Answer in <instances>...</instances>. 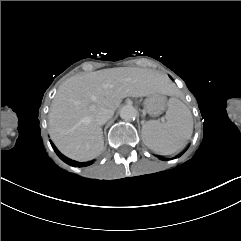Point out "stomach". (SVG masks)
Masks as SVG:
<instances>
[{"label":"stomach","mask_w":241,"mask_h":241,"mask_svg":"<svg viewBox=\"0 0 241 241\" xmlns=\"http://www.w3.org/2000/svg\"><path fill=\"white\" fill-rule=\"evenodd\" d=\"M144 107L150 116H158L166 108V99L160 94L149 95L144 101Z\"/></svg>","instance_id":"obj_1"}]
</instances>
